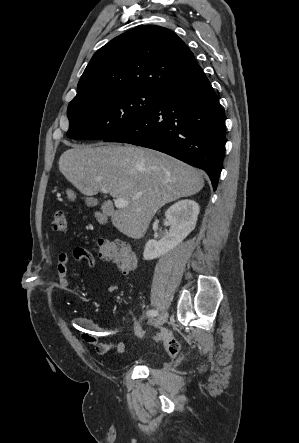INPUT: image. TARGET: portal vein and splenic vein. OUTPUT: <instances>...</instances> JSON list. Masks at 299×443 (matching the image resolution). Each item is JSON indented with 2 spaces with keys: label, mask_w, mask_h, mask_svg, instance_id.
Segmentation results:
<instances>
[{
  "label": "portal vein and splenic vein",
  "mask_w": 299,
  "mask_h": 443,
  "mask_svg": "<svg viewBox=\"0 0 299 443\" xmlns=\"http://www.w3.org/2000/svg\"><path fill=\"white\" fill-rule=\"evenodd\" d=\"M101 191H102L104 194H107V193H108V190L105 189V188H102ZM128 203H129V201L126 200V199H124V198H117V199L114 201V204H115L116 208H119V209H121V208H125L126 206H128Z\"/></svg>",
  "instance_id": "portal-vein-and-splenic-vein-1"
}]
</instances>
